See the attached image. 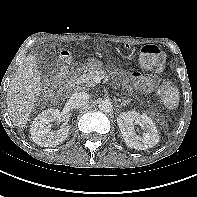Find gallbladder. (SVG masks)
I'll return each instance as SVG.
<instances>
[{"mask_svg":"<svg viewBox=\"0 0 197 197\" xmlns=\"http://www.w3.org/2000/svg\"><path fill=\"white\" fill-rule=\"evenodd\" d=\"M47 55L45 53H42L41 56H40V60H44V58H46Z\"/></svg>","mask_w":197,"mask_h":197,"instance_id":"bac80fb5","label":"gallbladder"}]
</instances>
